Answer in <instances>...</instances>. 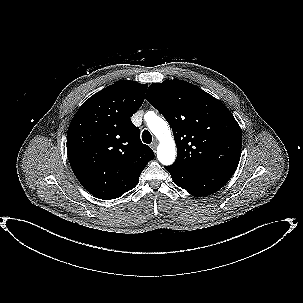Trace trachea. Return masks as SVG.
I'll return each mask as SVG.
<instances>
[{"label":"trachea","mask_w":303,"mask_h":303,"mask_svg":"<svg viewBox=\"0 0 303 303\" xmlns=\"http://www.w3.org/2000/svg\"><path fill=\"white\" fill-rule=\"evenodd\" d=\"M142 140L146 144H150L152 142V135L148 130H144L142 133Z\"/></svg>","instance_id":"trachea-1"}]
</instances>
